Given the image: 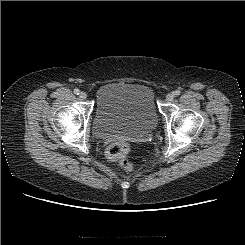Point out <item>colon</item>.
<instances>
[{
    "instance_id": "1",
    "label": "colon",
    "mask_w": 245,
    "mask_h": 245,
    "mask_svg": "<svg viewBox=\"0 0 245 245\" xmlns=\"http://www.w3.org/2000/svg\"><path fill=\"white\" fill-rule=\"evenodd\" d=\"M130 152V145L127 142H115L108 146L106 156L112 162L117 163L126 171L132 170L133 166L127 156Z\"/></svg>"
}]
</instances>
